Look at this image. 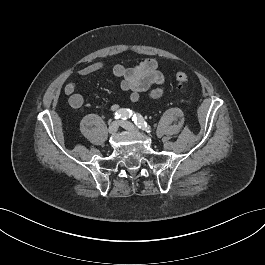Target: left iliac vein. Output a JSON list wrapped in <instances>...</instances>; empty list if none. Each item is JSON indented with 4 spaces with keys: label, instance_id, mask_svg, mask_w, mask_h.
Wrapping results in <instances>:
<instances>
[{
    "label": "left iliac vein",
    "instance_id": "4c4485c4",
    "mask_svg": "<svg viewBox=\"0 0 265 265\" xmlns=\"http://www.w3.org/2000/svg\"><path fill=\"white\" fill-rule=\"evenodd\" d=\"M120 125L126 130H129L134 133H140L139 130L129 121H121Z\"/></svg>",
    "mask_w": 265,
    "mask_h": 265
}]
</instances>
